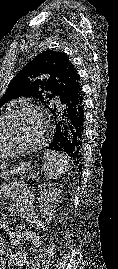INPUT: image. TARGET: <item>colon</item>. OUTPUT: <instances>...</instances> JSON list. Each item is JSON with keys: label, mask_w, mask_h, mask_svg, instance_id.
I'll use <instances>...</instances> for the list:
<instances>
[{"label": "colon", "mask_w": 118, "mask_h": 269, "mask_svg": "<svg viewBox=\"0 0 118 269\" xmlns=\"http://www.w3.org/2000/svg\"><path fill=\"white\" fill-rule=\"evenodd\" d=\"M5 219V218H4ZM5 227H7V225H6V221H2V223H1V221H0V229H5Z\"/></svg>", "instance_id": "1"}]
</instances>
